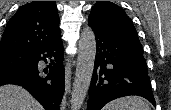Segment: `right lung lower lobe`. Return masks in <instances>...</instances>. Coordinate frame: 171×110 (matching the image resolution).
Instances as JSON below:
<instances>
[{
  "mask_svg": "<svg viewBox=\"0 0 171 110\" xmlns=\"http://www.w3.org/2000/svg\"><path fill=\"white\" fill-rule=\"evenodd\" d=\"M63 59V46L59 38L32 51L29 63L0 71V86L4 84L22 86L41 103L45 110H59L65 89ZM41 60L49 65L40 66Z\"/></svg>",
  "mask_w": 171,
  "mask_h": 110,
  "instance_id": "obj_1",
  "label": "right lung lower lobe"
}]
</instances>
